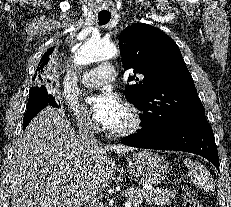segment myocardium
<instances>
[{"label":"myocardium","mask_w":231,"mask_h":207,"mask_svg":"<svg viewBox=\"0 0 231 207\" xmlns=\"http://www.w3.org/2000/svg\"><path fill=\"white\" fill-rule=\"evenodd\" d=\"M123 107L129 114L130 122L126 127L120 129H110L108 127H104V132L111 137H127L137 133L142 127L143 120L139 109L128 101L123 103Z\"/></svg>","instance_id":"myocardium-1"}]
</instances>
